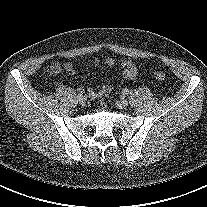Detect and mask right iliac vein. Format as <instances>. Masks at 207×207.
<instances>
[{
  "mask_svg": "<svg viewBox=\"0 0 207 207\" xmlns=\"http://www.w3.org/2000/svg\"><path fill=\"white\" fill-rule=\"evenodd\" d=\"M78 101H79V103H80L81 105H84L85 102H86V96H84V95H79V96H78Z\"/></svg>",
  "mask_w": 207,
  "mask_h": 207,
  "instance_id": "63e3f726",
  "label": "right iliac vein"
}]
</instances>
